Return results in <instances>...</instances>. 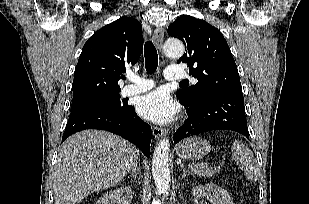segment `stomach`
Segmentation results:
<instances>
[{
    "instance_id": "obj_1",
    "label": "stomach",
    "mask_w": 309,
    "mask_h": 204,
    "mask_svg": "<svg viewBox=\"0 0 309 204\" xmlns=\"http://www.w3.org/2000/svg\"><path fill=\"white\" fill-rule=\"evenodd\" d=\"M211 150L210 143L201 137H191L181 141L176 148L178 157L187 160H198Z\"/></svg>"
}]
</instances>
